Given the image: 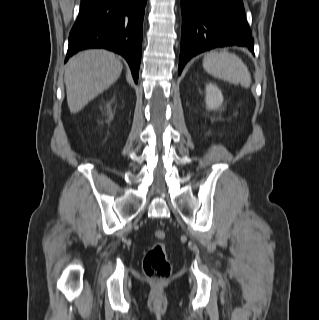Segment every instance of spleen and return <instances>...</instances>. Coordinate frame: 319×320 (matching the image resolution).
<instances>
[{
    "mask_svg": "<svg viewBox=\"0 0 319 320\" xmlns=\"http://www.w3.org/2000/svg\"><path fill=\"white\" fill-rule=\"evenodd\" d=\"M203 68L212 76L233 84L249 88L251 74L243 61L235 54L226 51L207 53L203 59Z\"/></svg>",
    "mask_w": 319,
    "mask_h": 320,
    "instance_id": "1",
    "label": "spleen"
}]
</instances>
